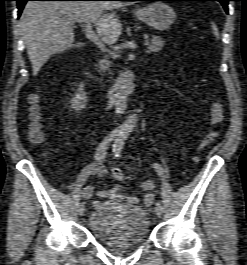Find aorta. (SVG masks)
Instances as JSON below:
<instances>
[{"instance_id":"aorta-1","label":"aorta","mask_w":247,"mask_h":265,"mask_svg":"<svg viewBox=\"0 0 247 265\" xmlns=\"http://www.w3.org/2000/svg\"><path fill=\"white\" fill-rule=\"evenodd\" d=\"M138 120V114L136 112L132 113L128 116L127 120L122 124L121 129L124 132H131L133 128L135 127Z\"/></svg>"}]
</instances>
